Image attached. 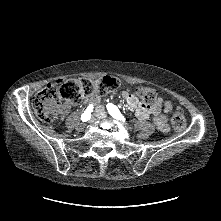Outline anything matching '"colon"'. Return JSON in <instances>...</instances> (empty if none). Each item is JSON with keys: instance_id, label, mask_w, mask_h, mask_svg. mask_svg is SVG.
<instances>
[{"instance_id": "5ec220e1", "label": "colon", "mask_w": 221, "mask_h": 221, "mask_svg": "<svg viewBox=\"0 0 221 221\" xmlns=\"http://www.w3.org/2000/svg\"><path fill=\"white\" fill-rule=\"evenodd\" d=\"M118 86V79L111 76L94 80L88 78L70 79L63 86L49 84L35 96L33 109L41 121L51 123L61 113L62 102L77 104L84 97L91 95L102 96L114 91ZM136 93L150 105L157 106L160 104L159 97L152 89L139 87ZM172 125L177 132L185 130L186 120L181 112L174 111L172 113Z\"/></svg>"}]
</instances>
